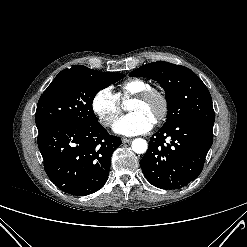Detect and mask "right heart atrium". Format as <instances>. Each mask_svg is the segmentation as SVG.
Wrapping results in <instances>:
<instances>
[{
    "instance_id": "obj_1",
    "label": "right heart atrium",
    "mask_w": 247,
    "mask_h": 247,
    "mask_svg": "<svg viewBox=\"0 0 247 247\" xmlns=\"http://www.w3.org/2000/svg\"><path fill=\"white\" fill-rule=\"evenodd\" d=\"M91 108L98 121L105 127L111 126L121 114L120 101L109 88H102L95 93Z\"/></svg>"
}]
</instances>
